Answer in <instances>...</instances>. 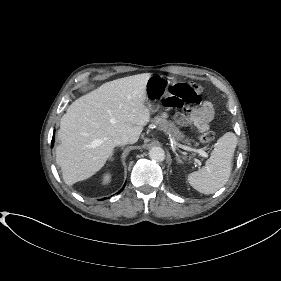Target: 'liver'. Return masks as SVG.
<instances>
[{
	"label": "liver",
	"instance_id": "1",
	"mask_svg": "<svg viewBox=\"0 0 281 281\" xmlns=\"http://www.w3.org/2000/svg\"><path fill=\"white\" fill-rule=\"evenodd\" d=\"M149 73L116 79L78 98L60 121L56 162L72 185L99 171L111 156L113 139L127 135L136 143L150 120L146 100Z\"/></svg>",
	"mask_w": 281,
	"mask_h": 281
}]
</instances>
